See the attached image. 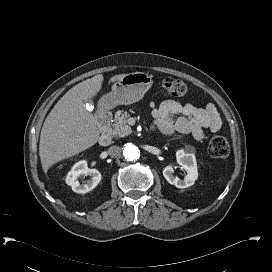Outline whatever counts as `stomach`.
<instances>
[{
	"label": "stomach",
	"mask_w": 272,
	"mask_h": 272,
	"mask_svg": "<svg viewBox=\"0 0 272 272\" xmlns=\"http://www.w3.org/2000/svg\"><path fill=\"white\" fill-rule=\"evenodd\" d=\"M153 76L144 72L125 75L115 82L111 92L102 97V104L108 109L117 105H129L139 101L151 88Z\"/></svg>",
	"instance_id": "obj_1"
}]
</instances>
